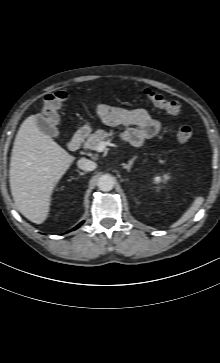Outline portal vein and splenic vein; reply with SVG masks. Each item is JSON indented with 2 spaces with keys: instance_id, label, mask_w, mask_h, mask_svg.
Segmentation results:
<instances>
[{
  "instance_id": "obj_1",
  "label": "portal vein and splenic vein",
  "mask_w": 220,
  "mask_h": 363,
  "mask_svg": "<svg viewBox=\"0 0 220 363\" xmlns=\"http://www.w3.org/2000/svg\"><path fill=\"white\" fill-rule=\"evenodd\" d=\"M107 146V142L103 141V142H100L97 147H96V151L97 152H103L105 150Z\"/></svg>"
}]
</instances>
